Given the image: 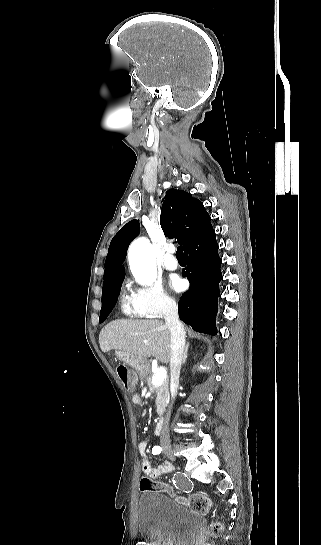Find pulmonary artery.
Instances as JSON below:
<instances>
[{
  "label": "pulmonary artery",
  "instance_id": "pulmonary-artery-1",
  "mask_svg": "<svg viewBox=\"0 0 321 545\" xmlns=\"http://www.w3.org/2000/svg\"><path fill=\"white\" fill-rule=\"evenodd\" d=\"M161 264H162L164 269L169 270V271H173V270H176L178 268L177 260L165 259V260L162 261Z\"/></svg>",
  "mask_w": 321,
  "mask_h": 545
}]
</instances>
